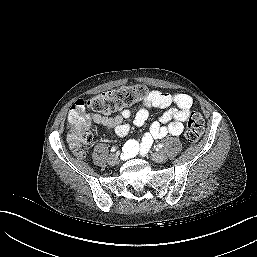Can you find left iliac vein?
<instances>
[{
    "mask_svg": "<svg viewBox=\"0 0 257 257\" xmlns=\"http://www.w3.org/2000/svg\"><path fill=\"white\" fill-rule=\"evenodd\" d=\"M151 159L157 163H163L167 160V156L162 152H158L152 154Z\"/></svg>",
    "mask_w": 257,
    "mask_h": 257,
    "instance_id": "1",
    "label": "left iliac vein"
}]
</instances>
